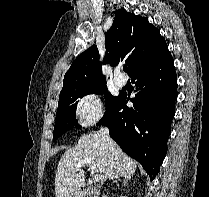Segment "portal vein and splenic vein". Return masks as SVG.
I'll use <instances>...</instances> for the list:
<instances>
[{
    "label": "portal vein and splenic vein",
    "instance_id": "portal-vein-and-splenic-vein-1",
    "mask_svg": "<svg viewBox=\"0 0 209 197\" xmlns=\"http://www.w3.org/2000/svg\"><path fill=\"white\" fill-rule=\"evenodd\" d=\"M85 165H87V166H89L90 168H91V170L92 171H95L96 170V164H95V162L93 161V160H91V159H83V160H81L77 165H76V169H79V168H81V167H83V166H85ZM93 179H94V181H96V182H99L100 180H101V175L100 174H98V173H95L94 174V176H93Z\"/></svg>",
    "mask_w": 209,
    "mask_h": 197
}]
</instances>
